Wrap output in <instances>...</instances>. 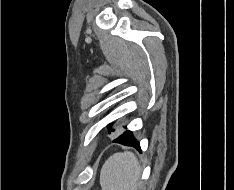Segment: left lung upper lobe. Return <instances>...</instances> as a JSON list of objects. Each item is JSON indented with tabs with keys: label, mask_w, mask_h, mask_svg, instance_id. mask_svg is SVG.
I'll list each match as a JSON object with an SVG mask.
<instances>
[{
	"label": "left lung upper lobe",
	"mask_w": 234,
	"mask_h": 190,
	"mask_svg": "<svg viewBox=\"0 0 234 190\" xmlns=\"http://www.w3.org/2000/svg\"><path fill=\"white\" fill-rule=\"evenodd\" d=\"M107 127H111V124H109ZM111 131L113 132L114 130L112 129Z\"/></svg>",
	"instance_id": "obj_1"
}]
</instances>
